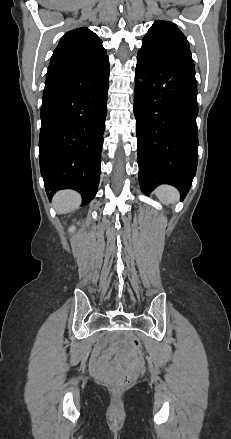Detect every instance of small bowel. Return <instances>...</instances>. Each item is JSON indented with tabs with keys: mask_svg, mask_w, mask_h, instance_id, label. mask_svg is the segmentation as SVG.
Returning <instances> with one entry per match:
<instances>
[{
	"mask_svg": "<svg viewBox=\"0 0 231 439\" xmlns=\"http://www.w3.org/2000/svg\"><path fill=\"white\" fill-rule=\"evenodd\" d=\"M94 365L96 366V368H100V365L98 364V362L96 361V359L93 360Z\"/></svg>",
	"mask_w": 231,
	"mask_h": 439,
	"instance_id": "c3829d8e",
	"label": "small bowel"
}]
</instances>
